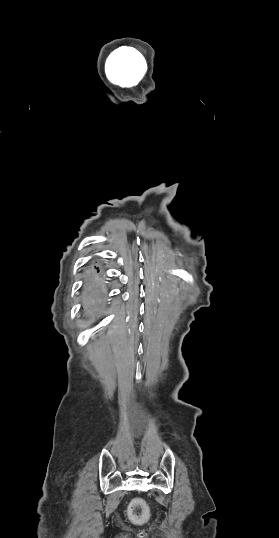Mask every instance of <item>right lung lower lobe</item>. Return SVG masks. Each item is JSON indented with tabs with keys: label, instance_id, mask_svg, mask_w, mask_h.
<instances>
[{
	"label": "right lung lower lobe",
	"instance_id": "98d812e1",
	"mask_svg": "<svg viewBox=\"0 0 279 538\" xmlns=\"http://www.w3.org/2000/svg\"><path fill=\"white\" fill-rule=\"evenodd\" d=\"M108 283L102 269L88 266L83 283V295L86 305V316L89 319L99 318L107 307Z\"/></svg>",
	"mask_w": 279,
	"mask_h": 538
}]
</instances>
